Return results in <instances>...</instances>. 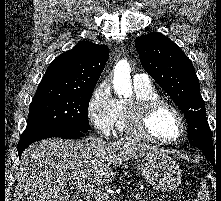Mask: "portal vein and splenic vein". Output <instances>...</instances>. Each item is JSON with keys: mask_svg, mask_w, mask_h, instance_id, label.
I'll return each mask as SVG.
<instances>
[{"mask_svg": "<svg viewBox=\"0 0 221 201\" xmlns=\"http://www.w3.org/2000/svg\"><path fill=\"white\" fill-rule=\"evenodd\" d=\"M69 184L75 185L82 192L94 197L97 201H107L109 199L108 195L98 189L96 186L86 182L85 180H79L77 182H71ZM135 198L141 199V195L137 193Z\"/></svg>", "mask_w": 221, "mask_h": 201, "instance_id": "18ae733b", "label": "portal vein and splenic vein"}]
</instances>
